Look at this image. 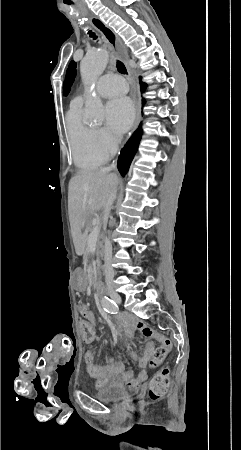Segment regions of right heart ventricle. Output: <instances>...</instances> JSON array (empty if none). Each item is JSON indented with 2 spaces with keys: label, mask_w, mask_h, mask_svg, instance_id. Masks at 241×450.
<instances>
[{
  "label": "right heart ventricle",
  "mask_w": 241,
  "mask_h": 450,
  "mask_svg": "<svg viewBox=\"0 0 241 450\" xmlns=\"http://www.w3.org/2000/svg\"><path fill=\"white\" fill-rule=\"evenodd\" d=\"M81 117V102L74 103L66 115V134L74 162L79 168H93L105 163L107 157L99 150L103 145L92 136Z\"/></svg>",
  "instance_id": "obj_1"
}]
</instances>
